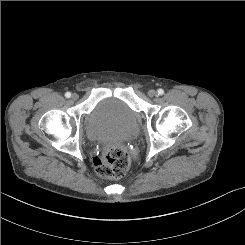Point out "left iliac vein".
I'll return each mask as SVG.
<instances>
[{"label":"left iliac vein","mask_w":245,"mask_h":245,"mask_svg":"<svg viewBox=\"0 0 245 245\" xmlns=\"http://www.w3.org/2000/svg\"><path fill=\"white\" fill-rule=\"evenodd\" d=\"M156 95H157V92H156L155 90H149V91H148V96H149V97L153 98V97H155Z\"/></svg>","instance_id":"4c4485c4"}]
</instances>
